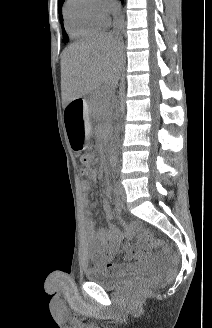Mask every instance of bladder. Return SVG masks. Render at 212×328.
I'll use <instances>...</instances> for the list:
<instances>
[{
  "instance_id": "obj_1",
  "label": "bladder",
  "mask_w": 212,
  "mask_h": 328,
  "mask_svg": "<svg viewBox=\"0 0 212 328\" xmlns=\"http://www.w3.org/2000/svg\"><path fill=\"white\" fill-rule=\"evenodd\" d=\"M136 273L132 274H120V273H112L105 272L97 269H90L86 271V278L94 283H97L104 287L107 290L117 291L131 282H133L137 278Z\"/></svg>"
}]
</instances>
